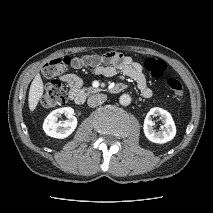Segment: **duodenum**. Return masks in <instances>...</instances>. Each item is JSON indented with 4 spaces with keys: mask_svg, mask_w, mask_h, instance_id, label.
Masks as SVG:
<instances>
[{
    "mask_svg": "<svg viewBox=\"0 0 213 213\" xmlns=\"http://www.w3.org/2000/svg\"><path fill=\"white\" fill-rule=\"evenodd\" d=\"M126 89V85L119 83L116 84L106 90V92L111 93V94H118L123 92ZM103 91L98 89V88H91L87 90H80L76 93L74 96V102L76 104H83L88 97L93 96V95H98L101 94Z\"/></svg>",
    "mask_w": 213,
    "mask_h": 213,
    "instance_id": "obj_1",
    "label": "duodenum"
}]
</instances>
